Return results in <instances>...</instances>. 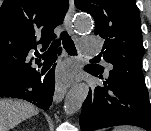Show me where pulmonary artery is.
I'll return each mask as SVG.
<instances>
[{"mask_svg": "<svg viewBox=\"0 0 151 131\" xmlns=\"http://www.w3.org/2000/svg\"><path fill=\"white\" fill-rule=\"evenodd\" d=\"M100 46L99 40L94 37H85L81 40V49L87 53H95Z\"/></svg>", "mask_w": 151, "mask_h": 131, "instance_id": "obj_1", "label": "pulmonary artery"}]
</instances>
